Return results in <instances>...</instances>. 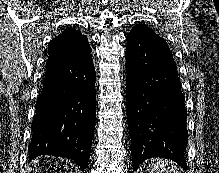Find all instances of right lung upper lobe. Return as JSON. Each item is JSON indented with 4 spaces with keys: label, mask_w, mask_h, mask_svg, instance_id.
<instances>
[{
    "label": "right lung upper lobe",
    "mask_w": 219,
    "mask_h": 173,
    "mask_svg": "<svg viewBox=\"0 0 219 173\" xmlns=\"http://www.w3.org/2000/svg\"><path fill=\"white\" fill-rule=\"evenodd\" d=\"M49 57L56 65L69 64L74 57H83L91 52L86 36L79 30L69 28L48 44Z\"/></svg>",
    "instance_id": "right-lung-upper-lobe-1"
}]
</instances>
